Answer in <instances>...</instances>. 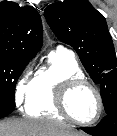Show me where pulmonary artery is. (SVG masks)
Masks as SVG:
<instances>
[{"instance_id":"pulmonary-artery-1","label":"pulmonary artery","mask_w":117,"mask_h":136,"mask_svg":"<svg viewBox=\"0 0 117 136\" xmlns=\"http://www.w3.org/2000/svg\"><path fill=\"white\" fill-rule=\"evenodd\" d=\"M57 50H62V51L68 52L70 54H73V52L70 49H67L61 45L57 47Z\"/></svg>"}]
</instances>
